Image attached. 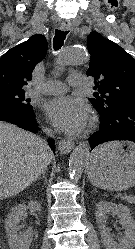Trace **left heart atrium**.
I'll use <instances>...</instances> for the list:
<instances>
[{"mask_svg": "<svg viewBox=\"0 0 135 249\" xmlns=\"http://www.w3.org/2000/svg\"><path fill=\"white\" fill-rule=\"evenodd\" d=\"M45 111L51 122L67 133L82 131L88 122V107L78 98H54L46 103Z\"/></svg>", "mask_w": 135, "mask_h": 249, "instance_id": "obj_1", "label": "left heart atrium"}]
</instances>
